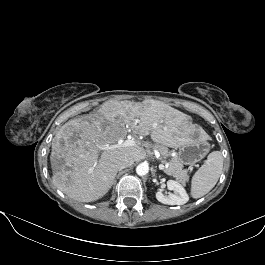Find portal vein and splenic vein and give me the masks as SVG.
Returning a JSON list of instances; mask_svg holds the SVG:
<instances>
[{
	"instance_id": "1",
	"label": "portal vein and splenic vein",
	"mask_w": 265,
	"mask_h": 265,
	"mask_svg": "<svg viewBox=\"0 0 265 265\" xmlns=\"http://www.w3.org/2000/svg\"><path fill=\"white\" fill-rule=\"evenodd\" d=\"M135 144H136V141L133 138L128 137L127 139H120L116 144L107 145L103 149H117V148H120V147L133 146ZM165 168L166 167L163 164L159 165V169L160 170H164Z\"/></svg>"
}]
</instances>
